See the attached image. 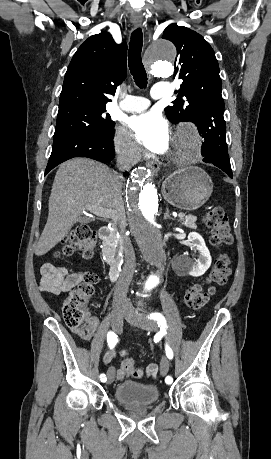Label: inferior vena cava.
I'll list each match as a JSON object with an SVG mask.
<instances>
[{"label":"inferior vena cava","instance_id":"1","mask_svg":"<svg viewBox=\"0 0 271 459\" xmlns=\"http://www.w3.org/2000/svg\"><path fill=\"white\" fill-rule=\"evenodd\" d=\"M133 162H127V160H121V158H118L117 160V168L120 170V172H124V170H130L132 168ZM118 180H122L121 174L117 176ZM120 188L121 184L117 186V198L120 196ZM115 206L113 210L112 220L113 222H118L119 226H123L125 222V214H124V208L121 200H114ZM129 281L130 279H126V277H122V279H119L115 285L114 289V297L113 301H118V299H125L129 287Z\"/></svg>","mask_w":271,"mask_h":459}]
</instances>
